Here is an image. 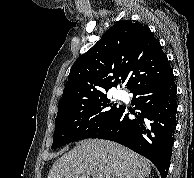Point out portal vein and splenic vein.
Masks as SVG:
<instances>
[{
    "mask_svg": "<svg viewBox=\"0 0 194 178\" xmlns=\"http://www.w3.org/2000/svg\"><path fill=\"white\" fill-rule=\"evenodd\" d=\"M75 178H90L88 175L76 176Z\"/></svg>",
    "mask_w": 194,
    "mask_h": 178,
    "instance_id": "obj_1",
    "label": "portal vein and splenic vein"
}]
</instances>
